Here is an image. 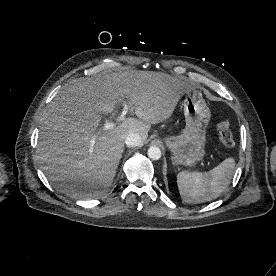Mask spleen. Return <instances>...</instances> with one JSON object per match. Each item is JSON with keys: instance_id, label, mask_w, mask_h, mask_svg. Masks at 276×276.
<instances>
[{"instance_id": "3e777b00", "label": "spleen", "mask_w": 276, "mask_h": 276, "mask_svg": "<svg viewBox=\"0 0 276 276\" xmlns=\"http://www.w3.org/2000/svg\"><path fill=\"white\" fill-rule=\"evenodd\" d=\"M234 168L235 160L226 158L208 172H179L177 185L181 198L186 203H203L217 198L230 184Z\"/></svg>"}]
</instances>
